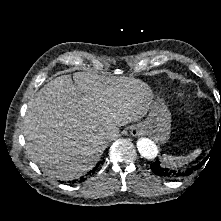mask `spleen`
<instances>
[{"label":"spleen","instance_id":"1","mask_svg":"<svg viewBox=\"0 0 221 221\" xmlns=\"http://www.w3.org/2000/svg\"><path fill=\"white\" fill-rule=\"evenodd\" d=\"M200 153L201 149L194 150V152H192L188 156H170L164 154L163 161L165 162L166 165L171 167L182 166L195 159Z\"/></svg>","mask_w":221,"mask_h":221}]
</instances>
